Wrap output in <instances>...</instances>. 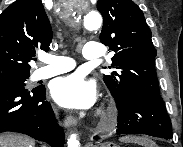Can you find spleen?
I'll use <instances>...</instances> for the list:
<instances>
[{
	"label": "spleen",
	"instance_id": "spleen-1",
	"mask_svg": "<svg viewBox=\"0 0 183 147\" xmlns=\"http://www.w3.org/2000/svg\"><path fill=\"white\" fill-rule=\"evenodd\" d=\"M124 142H133L143 147H156L155 142L147 137L126 136L121 139Z\"/></svg>",
	"mask_w": 183,
	"mask_h": 147
}]
</instances>
